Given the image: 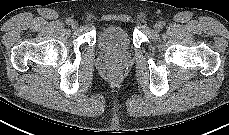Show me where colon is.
<instances>
[{
    "instance_id": "colon-1",
    "label": "colon",
    "mask_w": 229,
    "mask_h": 135,
    "mask_svg": "<svg viewBox=\"0 0 229 135\" xmlns=\"http://www.w3.org/2000/svg\"><path fill=\"white\" fill-rule=\"evenodd\" d=\"M109 77H110V80H112L114 82L119 80V75L115 72L111 73Z\"/></svg>"
}]
</instances>
